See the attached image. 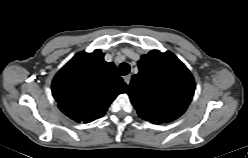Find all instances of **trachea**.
I'll return each mask as SVG.
<instances>
[{"mask_svg": "<svg viewBox=\"0 0 248 158\" xmlns=\"http://www.w3.org/2000/svg\"><path fill=\"white\" fill-rule=\"evenodd\" d=\"M118 72L120 75H127L130 72V65L128 63L120 64Z\"/></svg>", "mask_w": 248, "mask_h": 158, "instance_id": "obj_1", "label": "trachea"}]
</instances>
